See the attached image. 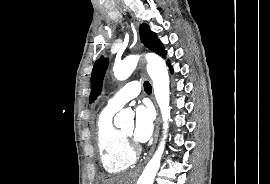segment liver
<instances>
[{
  "instance_id": "6515ba94",
  "label": "liver",
  "mask_w": 270,
  "mask_h": 184,
  "mask_svg": "<svg viewBox=\"0 0 270 184\" xmlns=\"http://www.w3.org/2000/svg\"><path fill=\"white\" fill-rule=\"evenodd\" d=\"M132 175H126L122 177H113L104 182V184H129Z\"/></svg>"
}]
</instances>
